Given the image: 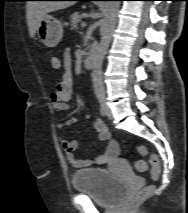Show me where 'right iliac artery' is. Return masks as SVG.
Returning a JSON list of instances; mask_svg holds the SVG:
<instances>
[{"instance_id":"obj_1","label":"right iliac artery","mask_w":188,"mask_h":213,"mask_svg":"<svg viewBox=\"0 0 188 213\" xmlns=\"http://www.w3.org/2000/svg\"><path fill=\"white\" fill-rule=\"evenodd\" d=\"M100 113L102 116L107 115V104L104 99H100Z\"/></svg>"}]
</instances>
